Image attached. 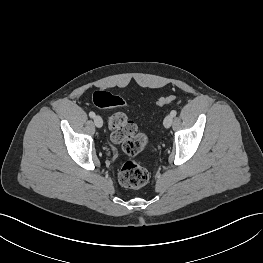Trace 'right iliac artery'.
<instances>
[{
	"label": "right iliac artery",
	"mask_w": 263,
	"mask_h": 263,
	"mask_svg": "<svg viewBox=\"0 0 263 263\" xmlns=\"http://www.w3.org/2000/svg\"><path fill=\"white\" fill-rule=\"evenodd\" d=\"M89 116H90L91 118H94V117H95V113H94V112H90V113H89Z\"/></svg>",
	"instance_id": "82829eb1"
}]
</instances>
